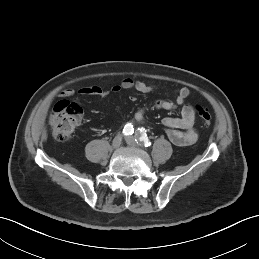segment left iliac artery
Here are the masks:
<instances>
[{
    "label": "left iliac artery",
    "mask_w": 259,
    "mask_h": 259,
    "mask_svg": "<svg viewBox=\"0 0 259 259\" xmlns=\"http://www.w3.org/2000/svg\"><path fill=\"white\" fill-rule=\"evenodd\" d=\"M135 138H136L137 143L140 145H144L145 147H148L151 145V142L148 139V136H147L144 128L139 129Z\"/></svg>",
    "instance_id": "1"
}]
</instances>
